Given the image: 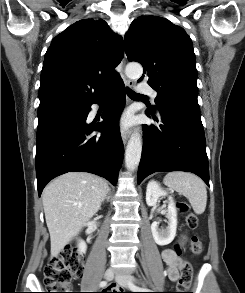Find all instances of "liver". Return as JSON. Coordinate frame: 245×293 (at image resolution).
I'll return each instance as SVG.
<instances>
[{
  "instance_id": "liver-1",
  "label": "liver",
  "mask_w": 245,
  "mask_h": 293,
  "mask_svg": "<svg viewBox=\"0 0 245 293\" xmlns=\"http://www.w3.org/2000/svg\"><path fill=\"white\" fill-rule=\"evenodd\" d=\"M108 192L104 179L86 172L63 174L45 187L42 202L51 257H57L98 212Z\"/></svg>"
}]
</instances>
